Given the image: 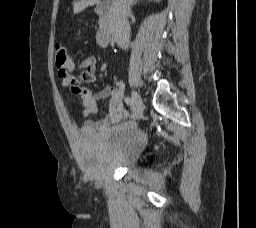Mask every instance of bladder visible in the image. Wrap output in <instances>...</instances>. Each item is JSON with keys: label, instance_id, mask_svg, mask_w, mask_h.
Masks as SVG:
<instances>
[{"label": "bladder", "instance_id": "obj_1", "mask_svg": "<svg viewBox=\"0 0 256 228\" xmlns=\"http://www.w3.org/2000/svg\"><path fill=\"white\" fill-rule=\"evenodd\" d=\"M147 142L136 127H115L102 135L81 133L76 140L77 154L95 179L110 170L128 168L138 158Z\"/></svg>", "mask_w": 256, "mask_h": 228}]
</instances>
